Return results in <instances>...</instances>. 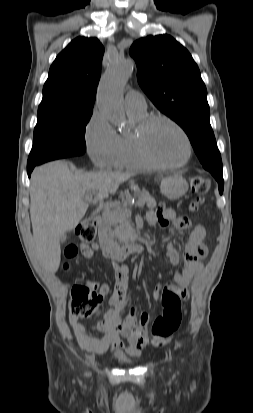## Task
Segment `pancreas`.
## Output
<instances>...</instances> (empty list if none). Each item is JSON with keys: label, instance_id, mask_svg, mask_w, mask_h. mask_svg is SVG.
I'll list each match as a JSON object with an SVG mask.
<instances>
[{"label": "pancreas", "instance_id": "obj_1", "mask_svg": "<svg viewBox=\"0 0 253 413\" xmlns=\"http://www.w3.org/2000/svg\"><path fill=\"white\" fill-rule=\"evenodd\" d=\"M134 197L138 198V205L147 204L149 208L156 207V201L147 191L137 190ZM130 196L123 199V204L114 207L112 210L103 214V219L106 225L113 227L115 235L120 243L127 244L129 241L135 240L134 232L130 227L131 211L127 208V202ZM140 203V204H139Z\"/></svg>", "mask_w": 253, "mask_h": 413}]
</instances>
